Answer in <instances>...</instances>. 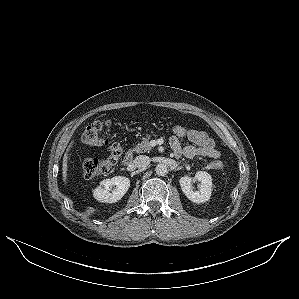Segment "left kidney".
Masks as SVG:
<instances>
[{
  "instance_id": "1",
  "label": "left kidney",
  "mask_w": 299,
  "mask_h": 299,
  "mask_svg": "<svg viewBox=\"0 0 299 299\" xmlns=\"http://www.w3.org/2000/svg\"><path fill=\"white\" fill-rule=\"evenodd\" d=\"M195 179L201 182L199 191H193L192 178L187 175L181 177L179 180L181 189L190 201L195 203H204L208 201L211 197L212 178L209 173L204 171H198L195 174Z\"/></svg>"
}]
</instances>
